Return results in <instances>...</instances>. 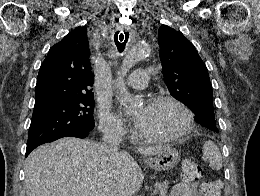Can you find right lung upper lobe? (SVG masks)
Segmentation results:
<instances>
[{
  "label": "right lung upper lobe",
  "instance_id": "1",
  "mask_svg": "<svg viewBox=\"0 0 260 196\" xmlns=\"http://www.w3.org/2000/svg\"><path fill=\"white\" fill-rule=\"evenodd\" d=\"M89 56L86 27L75 28L52 46L38 73L35 105L58 96L93 93Z\"/></svg>",
  "mask_w": 260,
  "mask_h": 196
}]
</instances>
